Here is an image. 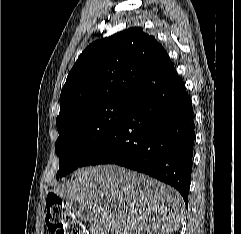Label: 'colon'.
I'll return each mask as SVG.
<instances>
[{
	"mask_svg": "<svg viewBox=\"0 0 241 234\" xmlns=\"http://www.w3.org/2000/svg\"><path fill=\"white\" fill-rule=\"evenodd\" d=\"M46 206V222L53 234H86L83 225L75 219L60 197L49 194Z\"/></svg>",
	"mask_w": 241,
	"mask_h": 234,
	"instance_id": "1",
	"label": "colon"
}]
</instances>
